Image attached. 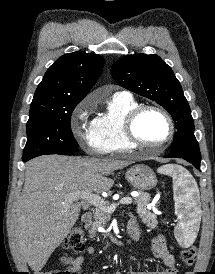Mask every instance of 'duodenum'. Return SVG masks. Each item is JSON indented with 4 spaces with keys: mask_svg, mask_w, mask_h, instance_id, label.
<instances>
[{
    "mask_svg": "<svg viewBox=\"0 0 215 274\" xmlns=\"http://www.w3.org/2000/svg\"><path fill=\"white\" fill-rule=\"evenodd\" d=\"M92 214L91 212L87 211L82 214V222L88 223L91 220ZM139 233V230L133 227H129V235L132 239L136 238Z\"/></svg>",
    "mask_w": 215,
    "mask_h": 274,
    "instance_id": "duodenum-1",
    "label": "duodenum"
}]
</instances>
